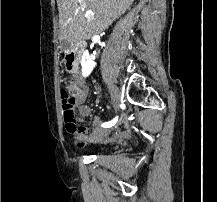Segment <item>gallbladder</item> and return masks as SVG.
<instances>
[{
    "instance_id": "bac80fb5",
    "label": "gallbladder",
    "mask_w": 217,
    "mask_h": 202,
    "mask_svg": "<svg viewBox=\"0 0 217 202\" xmlns=\"http://www.w3.org/2000/svg\"><path fill=\"white\" fill-rule=\"evenodd\" d=\"M69 40L68 39H63L60 42V48L61 51H68V47H69Z\"/></svg>"
}]
</instances>
